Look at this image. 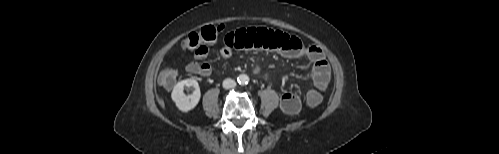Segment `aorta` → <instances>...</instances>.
<instances>
[{
  "mask_svg": "<svg viewBox=\"0 0 499 154\" xmlns=\"http://www.w3.org/2000/svg\"><path fill=\"white\" fill-rule=\"evenodd\" d=\"M237 80H238L239 84L245 85V84H248L249 77L246 74H241L238 76Z\"/></svg>",
  "mask_w": 499,
  "mask_h": 154,
  "instance_id": "762f6f07",
  "label": "aorta"
}]
</instances>
